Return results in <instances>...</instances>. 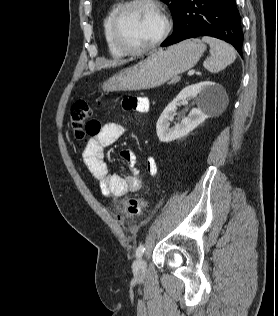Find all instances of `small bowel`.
<instances>
[{"instance_id":"small-bowel-1","label":"small bowel","mask_w":278,"mask_h":316,"mask_svg":"<svg viewBox=\"0 0 278 316\" xmlns=\"http://www.w3.org/2000/svg\"><path fill=\"white\" fill-rule=\"evenodd\" d=\"M122 106L126 113L140 116L148 112L149 100L145 97L130 98L124 100ZM126 130V126L119 123L100 126L82 152L84 165L97 181L101 194L109 199L137 192L142 185L141 173L136 167V155L131 149H124L120 153L129 167V173L125 176L111 174L104 160V149L116 142ZM146 168L151 177L157 175V163L152 156H148Z\"/></svg>"}]
</instances>
